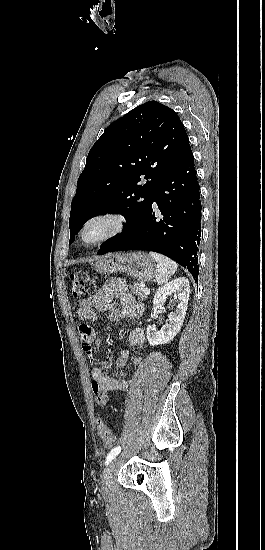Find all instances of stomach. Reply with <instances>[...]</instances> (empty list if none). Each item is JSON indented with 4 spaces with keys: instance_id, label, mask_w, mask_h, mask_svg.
I'll use <instances>...</instances> for the list:
<instances>
[{
    "instance_id": "stomach-1",
    "label": "stomach",
    "mask_w": 265,
    "mask_h": 550,
    "mask_svg": "<svg viewBox=\"0 0 265 550\" xmlns=\"http://www.w3.org/2000/svg\"><path fill=\"white\" fill-rule=\"evenodd\" d=\"M94 268L103 274L124 272L146 282L151 281L156 272L152 258L144 252L108 254L98 258Z\"/></svg>"
}]
</instances>
